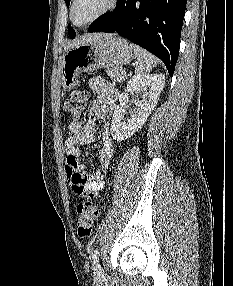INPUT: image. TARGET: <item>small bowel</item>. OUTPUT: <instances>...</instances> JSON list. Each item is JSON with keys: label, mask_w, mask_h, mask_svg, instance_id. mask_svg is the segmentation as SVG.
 <instances>
[{"label": "small bowel", "mask_w": 233, "mask_h": 286, "mask_svg": "<svg viewBox=\"0 0 233 286\" xmlns=\"http://www.w3.org/2000/svg\"><path fill=\"white\" fill-rule=\"evenodd\" d=\"M89 88L98 96L90 109L88 120L73 121L68 126L65 140L66 173L73 193L79 197L97 196L105 185L111 160L113 157V142L105 123L102 134V146L97 153L98 167L92 173L85 172L81 159V147L92 143L96 138V123L107 120L114 112L118 91L102 78L95 77L89 81Z\"/></svg>", "instance_id": "small-bowel-1"}]
</instances>
